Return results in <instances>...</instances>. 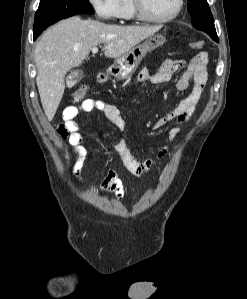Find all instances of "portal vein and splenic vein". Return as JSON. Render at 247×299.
<instances>
[{"label": "portal vein and splenic vein", "instance_id": "portal-vein-and-splenic-vein-1", "mask_svg": "<svg viewBox=\"0 0 247 299\" xmlns=\"http://www.w3.org/2000/svg\"><path fill=\"white\" fill-rule=\"evenodd\" d=\"M104 49H105V48H104ZM91 51H92L93 54H95V53L98 52V48H97V47H93V48L91 49Z\"/></svg>", "mask_w": 247, "mask_h": 299}]
</instances>
